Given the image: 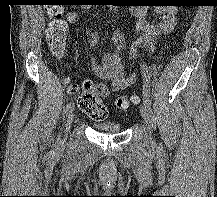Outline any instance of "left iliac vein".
I'll return each instance as SVG.
<instances>
[{"label":"left iliac vein","mask_w":217,"mask_h":197,"mask_svg":"<svg viewBox=\"0 0 217 197\" xmlns=\"http://www.w3.org/2000/svg\"><path fill=\"white\" fill-rule=\"evenodd\" d=\"M140 113L145 121V123L148 125V128L150 129L149 123H150V111L148 109V107L143 104L140 107ZM150 139L152 140V138L150 137Z\"/></svg>","instance_id":"4c4485c4"}]
</instances>
